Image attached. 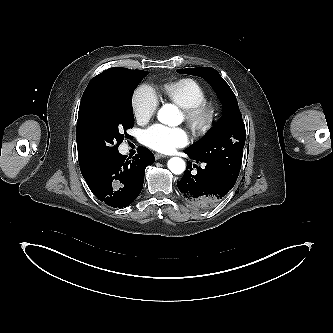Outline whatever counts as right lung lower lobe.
<instances>
[{
    "mask_svg": "<svg viewBox=\"0 0 333 333\" xmlns=\"http://www.w3.org/2000/svg\"><path fill=\"white\" fill-rule=\"evenodd\" d=\"M137 152L131 160L118 152L85 178L100 201L111 207L123 208L138 197L143 187L144 171L155 158L147 148L139 147Z\"/></svg>",
    "mask_w": 333,
    "mask_h": 333,
    "instance_id": "98d812e1",
    "label": "right lung lower lobe"
}]
</instances>
